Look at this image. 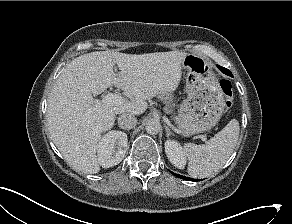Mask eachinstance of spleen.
<instances>
[{
	"label": "spleen",
	"instance_id": "3e777b00",
	"mask_svg": "<svg viewBox=\"0 0 292 224\" xmlns=\"http://www.w3.org/2000/svg\"><path fill=\"white\" fill-rule=\"evenodd\" d=\"M239 122L232 119L206 144L186 143L188 174L193 178H205L218 172L227 162L239 137Z\"/></svg>",
	"mask_w": 292,
	"mask_h": 224
}]
</instances>
